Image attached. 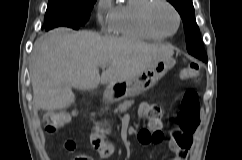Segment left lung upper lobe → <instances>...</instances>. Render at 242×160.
Masks as SVG:
<instances>
[{"instance_id":"left-lung-upper-lobe-1","label":"left lung upper lobe","mask_w":242,"mask_h":160,"mask_svg":"<svg viewBox=\"0 0 242 160\" xmlns=\"http://www.w3.org/2000/svg\"><path fill=\"white\" fill-rule=\"evenodd\" d=\"M167 1H169L176 8L183 20L184 32L186 34L187 51L191 55L203 60L204 62H207V54L200 38L199 28L195 20L192 0Z\"/></svg>"}]
</instances>
